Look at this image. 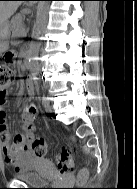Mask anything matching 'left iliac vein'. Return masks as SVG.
Here are the masks:
<instances>
[{
    "label": "left iliac vein",
    "instance_id": "left-iliac-vein-1",
    "mask_svg": "<svg viewBox=\"0 0 137 189\" xmlns=\"http://www.w3.org/2000/svg\"><path fill=\"white\" fill-rule=\"evenodd\" d=\"M44 108L46 112H51L52 111V106L50 105L49 102H44Z\"/></svg>",
    "mask_w": 137,
    "mask_h": 189
}]
</instances>
